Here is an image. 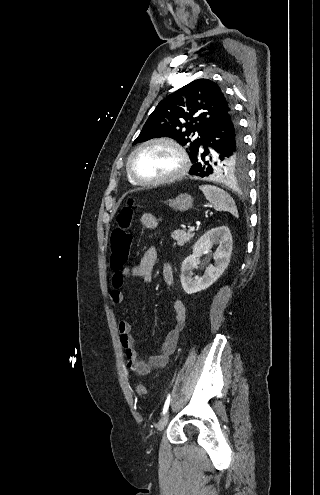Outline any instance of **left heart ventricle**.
Masks as SVG:
<instances>
[{
  "label": "left heart ventricle",
  "mask_w": 320,
  "mask_h": 495,
  "mask_svg": "<svg viewBox=\"0 0 320 495\" xmlns=\"http://www.w3.org/2000/svg\"><path fill=\"white\" fill-rule=\"evenodd\" d=\"M133 171L142 179H158L179 167L177 153L168 145L154 144L140 150L133 159Z\"/></svg>",
  "instance_id": "obj_1"
}]
</instances>
